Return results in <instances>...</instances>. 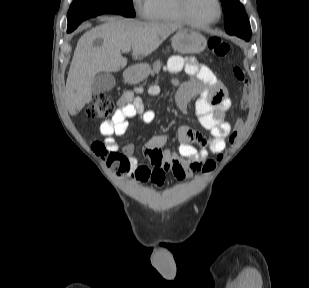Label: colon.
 Returning a JSON list of instances; mask_svg holds the SVG:
<instances>
[{
  "label": "colon",
  "instance_id": "colon-1",
  "mask_svg": "<svg viewBox=\"0 0 309 288\" xmlns=\"http://www.w3.org/2000/svg\"><path fill=\"white\" fill-rule=\"evenodd\" d=\"M209 47L218 56H226L230 50L229 43L219 38L210 39ZM232 72L236 80L243 85L239 107L240 109L245 110L248 108L251 101V86L249 80L246 77L244 70L238 65L233 67ZM115 111L116 106L111 97L106 93H97L94 95L92 103L87 110V117L91 119L107 118L113 115ZM242 123L243 122L240 118L237 119L235 127L228 137L230 144L236 142ZM93 150L104 158L110 168L124 172L122 166L126 164V159L122 154L109 151L106 144L101 141H95L93 143ZM222 158L223 155L220 154L216 159L205 161L202 170L204 172L212 171L216 167L217 162L221 161Z\"/></svg>",
  "mask_w": 309,
  "mask_h": 288
}]
</instances>
